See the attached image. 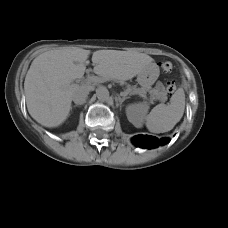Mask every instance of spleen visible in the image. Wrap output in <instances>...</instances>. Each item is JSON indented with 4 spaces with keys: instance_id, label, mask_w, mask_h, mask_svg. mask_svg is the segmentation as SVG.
<instances>
[{
    "instance_id": "spleen-1",
    "label": "spleen",
    "mask_w": 228,
    "mask_h": 228,
    "mask_svg": "<svg viewBox=\"0 0 228 228\" xmlns=\"http://www.w3.org/2000/svg\"><path fill=\"white\" fill-rule=\"evenodd\" d=\"M185 110V93L178 88L170 98L169 104L156 105L145 118V124L152 133H164L172 130L180 121Z\"/></svg>"
}]
</instances>
